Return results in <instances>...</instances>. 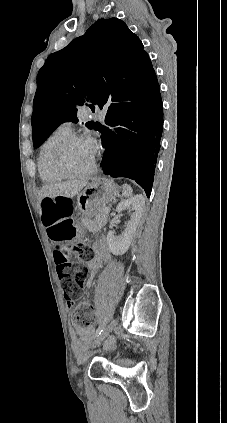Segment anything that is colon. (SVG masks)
I'll list each match as a JSON object with an SVG mask.
<instances>
[{"label": "colon", "instance_id": "5ec220e1", "mask_svg": "<svg viewBox=\"0 0 227 423\" xmlns=\"http://www.w3.org/2000/svg\"><path fill=\"white\" fill-rule=\"evenodd\" d=\"M71 206L62 198H46L43 202L44 224H52L60 219L68 218ZM75 227L71 222L58 225L54 230L56 247L54 259L57 272L62 283L63 295L66 301H76L81 296V289L88 277L87 268L79 263H73L72 254L75 253L83 260H91L92 253L83 245L71 247L67 242L74 236ZM92 305L81 302L73 312L74 323L82 328L92 326Z\"/></svg>", "mask_w": 227, "mask_h": 423}]
</instances>
